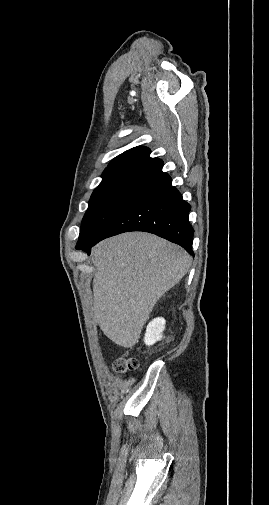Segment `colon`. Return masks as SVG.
Instances as JSON below:
<instances>
[{"label": "colon", "instance_id": "5ec220e1", "mask_svg": "<svg viewBox=\"0 0 269 505\" xmlns=\"http://www.w3.org/2000/svg\"><path fill=\"white\" fill-rule=\"evenodd\" d=\"M138 366L139 362L137 359L126 356L119 357L113 362V370L119 375L135 371Z\"/></svg>", "mask_w": 269, "mask_h": 505}]
</instances>
